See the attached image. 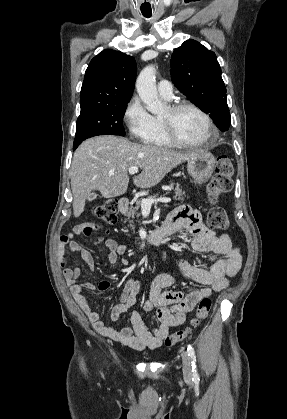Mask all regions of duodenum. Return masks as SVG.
<instances>
[{"label":"duodenum","mask_w":287,"mask_h":419,"mask_svg":"<svg viewBox=\"0 0 287 419\" xmlns=\"http://www.w3.org/2000/svg\"><path fill=\"white\" fill-rule=\"evenodd\" d=\"M129 201L125 198L119 200V209L121 213H125L128 209ZM173 233V229L164 225L154 231H152L145 240V246H156L160 244L164 239Z\"/></svg>","instance_id":"1"}]
</instances>
